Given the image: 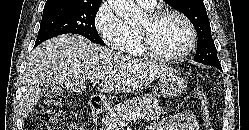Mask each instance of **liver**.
I'll list each match as a JSON object with an SVG mask.
<instances>
[{"instance_id":"1","label":"liver","mask_w":249,"mask_h":130,"mask_svg":"<svg viewBox=\"0 0 249 130\" xmlns=\"http://www.w3.org/2000/svg\"><path fill=\"white\" fill-rule=\"evenodd\" d=\"M172 70L93 44L79 35H61L32 51L22 80L20 109L24 117L34 109L44 84L82 92L87 80L95 79L99 81L100 92L129 93Z\"/></svg>"}]
</instances>
